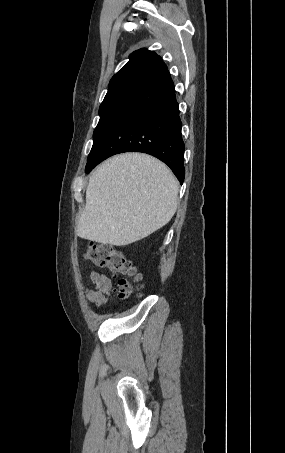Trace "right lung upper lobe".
<instances>
[{
	"label": "right lung upper lobe",
	"mask_w": 285,
	"mask_h": 453,
	"mask_svg": "<svg viewBox=\"0 0 285 453\" xmlns=\"http://www.w3.org/2000/svg\"><path fill=\"white\" fill-rule=\"evenodd\" d=\"M165 71L167 66L155 52L144 48L133 52L130 60L110 80L102 103L121 96H131L145 83Z\"/></svg>",
	"instance_id": "1"
}]
</instances>
